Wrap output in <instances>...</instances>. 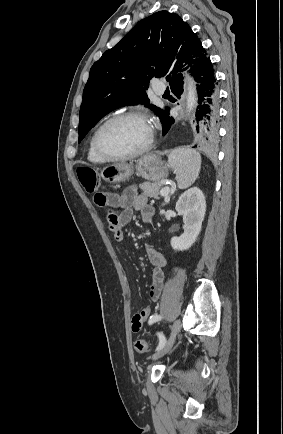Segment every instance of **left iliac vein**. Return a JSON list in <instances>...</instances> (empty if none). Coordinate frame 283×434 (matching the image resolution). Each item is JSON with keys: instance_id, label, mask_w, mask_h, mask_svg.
I'll return each mask as SVG.
<instances>
[{"instance_id": "obj_1", "label": "left iliac vein", "mask_w": 283, "mask_h": 434, "mask_svg": "<svg viewBox=\"0 0 283 434\" xmlns=\"http://www.w3.org/2000/svg\"><path fill=\"white\" fill-rule=\"evenodd\" d=\"M180 329H181V321L177 319L172 326L169 339L160 350H158L155 354H153L152 360H157L170 351V349L172 348L175 342L176 336L180 332Z\"/></svg>"}]
</instances>
